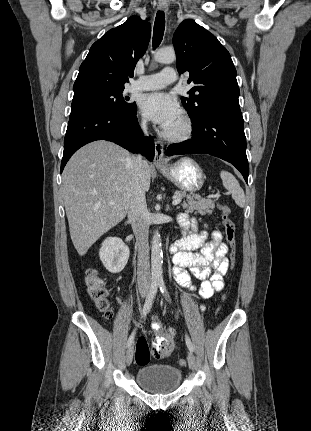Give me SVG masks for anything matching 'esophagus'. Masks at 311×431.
Masks as SVG:
<instances>
[{"instance_id":"34e87169","label":"esophagus","mask_w":311,"mask_h":431,"mask_svg":"<svg viewBox=\"0 0 311 431\" xmlns=\"http://www.w3.org/2000/svg\"><path fill=\"white\" fill-rule=\"evenodd\" d=\"M159 10H163L164 12L168 11V5L166 4H159ZM164 153V145L162 141L156 140L155 141V155H154V165L161 166L167 163L166 158L163 156Z\"/></svg>"}]
</instances>
